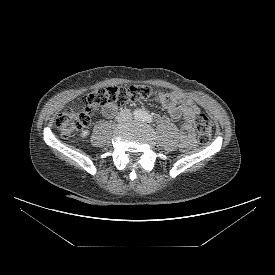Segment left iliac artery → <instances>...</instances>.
I'll return each mask as SVG.
<instances>
[{"label": "left iliac artery", "instance_id": "left-iliac-artery-1", "mask_svg": "<svg viewBox=\"0 0 275 275\" xmlns=\"http://www.w3.org/2000/svg\"><path fill=\"white\" fill-rule=\"evenodd\" d=\"M142 119H143V121L148 122V123L153 122L152 116L149 113H147V112L143 113Z\"/></svg>", "mask_w": 275, "mask_h": 275}]
</instances>
